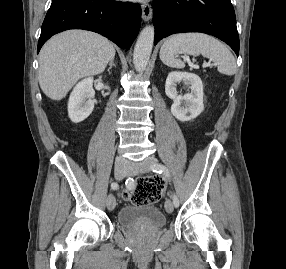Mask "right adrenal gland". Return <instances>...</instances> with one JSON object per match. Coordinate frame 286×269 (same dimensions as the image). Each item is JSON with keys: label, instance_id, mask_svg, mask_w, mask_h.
I'll return each mask as SVG.
<instances>
[{"label": "right adrenal gland", "instance_id": "2a0ac1e0", "mask_svg": "<svg viewBox=\"0 0 286 269\" xmlns=\"http://www.w3.org/2000/svg\"><path fill=\"white\" fill-rule=\"evenodd\" d=\"M113 66H115V64H114V59H112V60L109 62V69H108V71H110Z\"/></svg>", "mask_w": 286, "mask_h": 269}]
</instances>
